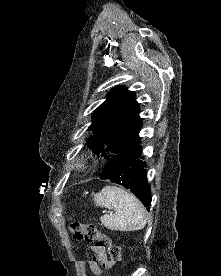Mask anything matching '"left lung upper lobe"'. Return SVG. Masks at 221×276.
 Here are the masks:
<instances>
[{
	"label": "left lung upper lobe",
	"mask_w": 221,
	"mask_h": 276,
	"mask_svg": "<svg viewBox=\"0 0 221 276\" xmlns=\"http://www.w3.org/2000/svg\"><path fill=\"white\" fill-rule=\"evenodd\" d=\"M140 105L135 94L118 86L107 94V99L92 114L88 131L93 136L86 139L92 151L106 160L121 150L130 148L139 140L142 123Z\"/></svg>",
	"instance_id": "obj_1"
}]
</instances>
